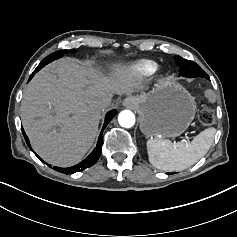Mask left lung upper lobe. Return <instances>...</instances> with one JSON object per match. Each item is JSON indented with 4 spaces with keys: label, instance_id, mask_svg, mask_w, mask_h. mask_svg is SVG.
Listing matches in <instances>:
<instances>
[{
    "label": "left lung upper lobe",
    "instance_id": "left-lung-upper-lobe-1",
    "mask_svg": "<svg viewBox=\"0 0 237 237\" xmlns=\"http://www.w3.org/2000/svg\"><path fill=\"white\" fill-rule=\"evenodd\" d=\"M177 65L180 67L179 75L188 78L202 77L210 80L203 69L193 61L186 60L180 56L175 57Z\"/></svg>",
    "mask_w": 237,
    "mask_h": 237
}]
</instances>
